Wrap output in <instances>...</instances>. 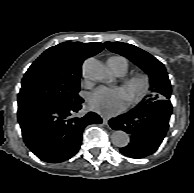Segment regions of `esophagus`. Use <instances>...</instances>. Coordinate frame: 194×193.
Returning <instances> with one entry per match:
<instances>
[{
    "instance_id": "34e87169",
    "label": "esophagus",
    "mask_w": 194,
    "mask_h": 193,
    "mask_svg": "<svg viewBox=\"0 0 194 193\" xmlns=\"http://www.w3.org/2000/svg\"><path fill=\"white\" fill-rule=\"evenodd\" d=\"M102 119H103V123H104L105 125H108L109 118L106 117V116H104Z\"/></svg>"
}]
</instances>
